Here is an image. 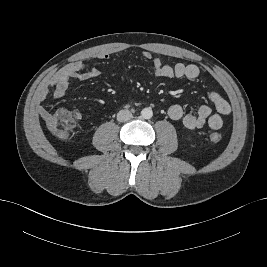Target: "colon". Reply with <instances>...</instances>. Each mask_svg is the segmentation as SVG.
<instances>
[{
	"label": "colon",
	"mask_w": 267,
	"mask_h": 267,
	"mask_svg": "<svg viewBox=\"0 0 267 267\" xmlns=\"http://www.w3.org/2000/svg\"><path fill=\"white\" fill-rule=\"evenodd\" d=\"M79 119L76 112L60 108L50 114L46 119V124L53 135L60 139H66L77 128ZM209 139L213 143H218L221 140V135L213 132L209 135Z\"/></svg>",
	"instance_id": "1"
}]
</instances>
